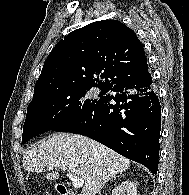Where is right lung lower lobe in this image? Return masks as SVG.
I'll use <instances>...</instances> for the list:
<instances>
[{
    "instance_id": "98d812e1",
    "label": "right lung lower lobe",
    "mask_w": 189,
    "mask_h": 195,
    "mask_svg": "<svg viewBox=\"0 0 189 195\" xmlns=\"http://www.w3.org/2000/svg\"><path fill=\"white\" fill-rule=\"evenodd\" d=\"M108 91L115 93L102 96L53 131L88 136L156 174L161 107L148 66L142 74L109 86Z\"/></svg>"
}]
</instances>
